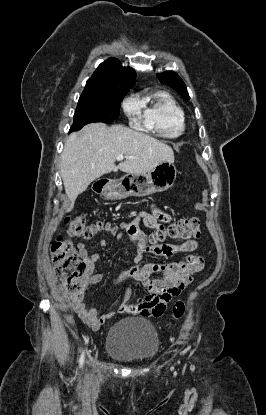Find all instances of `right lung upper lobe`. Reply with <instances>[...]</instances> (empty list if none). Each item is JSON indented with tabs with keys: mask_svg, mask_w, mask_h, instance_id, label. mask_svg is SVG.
Listing matches in <instances>:
<instances>
[{
	"mask_svg": "<svg viewBox=\"0 0 266 415\" xmlns=\"http://www.w3.org/2000/svg\"><path fill=\"white\" fill-rule=\"evenodd\" d=\"M135 81V71L110 58L101 63L88 79L82 95L111 96L126 93Z\"/></svg>",
	"mask_w": 266,
	"mask_h": 415,
	"instance_id": "obj_1",
	"label": "right lung upper lobe"
}]
</instances>
